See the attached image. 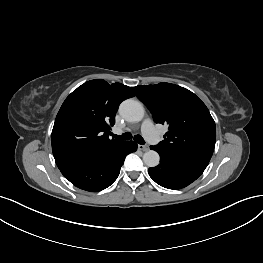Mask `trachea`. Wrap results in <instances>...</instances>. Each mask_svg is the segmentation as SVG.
Instances as JSON below:
<instances>
[{"mask_svg": "<svg viewBox=\"0 0 263 263\" xmlns=\"http://www.w3.org/2000/svg\"><path fill=\"white\" fill-rule=\"evenodd\" d=\"M112 136L113 138L120 139V140H130L132 138V134L129 132L123 133L122 135L112 134ZM134 140L140 145L145 144L144 139L140 135H135Z\"/></svg>", "mask_w": 263, "mask_h": 263, "instance_id": "trachea-1", "label": "trachea"}]
</instances>
